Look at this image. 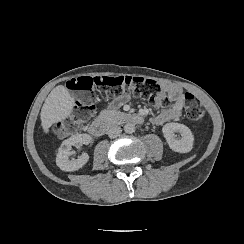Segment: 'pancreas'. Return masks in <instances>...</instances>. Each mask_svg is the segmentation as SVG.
I'll use <instances>...</instances> for the list:
<instances>
[{
	"label": "pancreas",
	"mask_w": 244,
	"mask_h": 244,
	"mask_svg": "<svg viewBox=\"0 0 244 244\" xmlns=\"http://www.w3.org/2000/svg\"><path fill=\"white\" fill-rule=\"evenodd\" d=\"M124 113L119 112V111H114V110H102L100 112V117L107 119V120H115V119H120L123 117Z\"/></svg>",
	"instance_id": "obj_1"
}]
</instances>
